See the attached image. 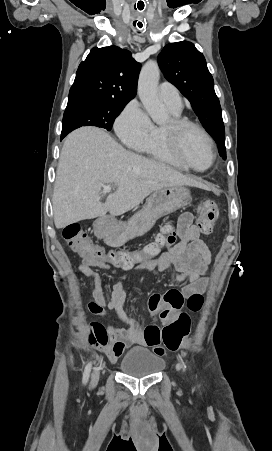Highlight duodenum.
I'll use <instances>...</instances> for the list:
<instances>
[{"instance_id":"1","label":"duodenum","mask_w":272,"mask_h":451,"mask_svg":"<svg viewBox=\"0 0 272 451\" xmlns=\"http://www.w3.org/2000/svg\"><path fill=\"white\" fill-rule=\"evenodd\" d=\"M95 230L96 233L101 236L104 237L106 236V224L104 221H97L96 225H95Z\"/></svg>"}]
</instances>
